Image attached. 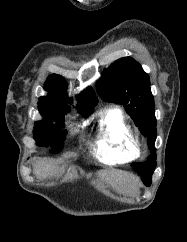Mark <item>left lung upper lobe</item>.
<instances>
[{"label":"left lung upper lobe","mask_w":187,"mask_h":242,"mask_svg":"<svg viewBox=\"0 0 187 242\" xmlns=\"http://www.w3.org/2000/svg\"><path fill=\"white\" fill-rule=\"evenodd\" d=\"M99 96L125 107L140 132L148 138L151 150L146 162L133 163L141 178H150L156 167V118L150 80L141 65L131 57L115 61L96 83Z\"/></svg>","instance_id":"5c2ea615"}]
</instances>
